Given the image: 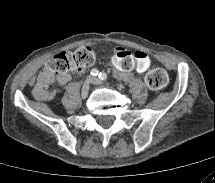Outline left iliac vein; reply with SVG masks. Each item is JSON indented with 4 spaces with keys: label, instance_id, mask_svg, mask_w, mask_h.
Masks as SVG:
<instances>
[{
    "label": "left iliac vein",
    "instance_id": "4c4485c4",
    "mask_svg": "<svg viewBox=\"0 0 215 183\" xmlns=\"http://www.w3.org/2000/svg\"><path fill=\"white\" fill-rule=\"evenodd\" d=\"M91 83L95 84V85H101L102 81L100 79H98V78L91 77Z\"/></svg>",
    "mask_w": 215,
    "mask_h": 183
}]
</instances>
